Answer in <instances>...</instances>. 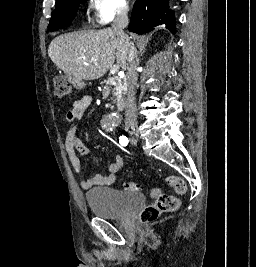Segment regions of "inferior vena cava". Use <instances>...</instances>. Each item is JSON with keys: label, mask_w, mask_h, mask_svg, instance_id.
<instances>
[{"label": "inferior vena cava", "mask_w": 256, "mask_h": 267, "mask_svg": "<svg viewBox=\"0 0 256 267\" xmlns=\"http://www.w3.org/2000/svg\"><path fill=\"white\" fill-rule=\"evenodd\" d=\"M128 6H120V10H118L116 14V18L111 24L113 32H116L117 36H121L124 38L126 42L129 44V52H128V64H127V72H126V86H127V98L125 104V126L126 128H136L137 126V108L135 104V94H136V86L138 80V58L136 56V48L134 44H130V40L124 32V28H127L129 24L128 20Z\"/></svg>", "instance_id": "obj_1"}]
</instances>
